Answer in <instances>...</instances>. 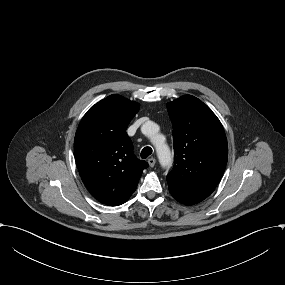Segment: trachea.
<instances>
[{"label": "trachea", "instance_id": "obj_1", "mask_svg": "<svg viewBox=\"0 0 285 285\" xmlns=\"http://www.w3.org/2000/svg\"><path fill=\"white\" fill-rule=\"evenodd\" d=\"M151 153H152V148L145 147L141 151V158L146 159L147 157H149L151 155Z\"/></svg>", "mask_w": 285, "mask_h": 285}]
</instances>
